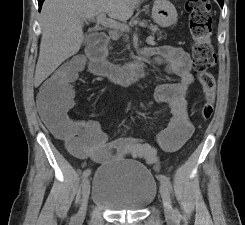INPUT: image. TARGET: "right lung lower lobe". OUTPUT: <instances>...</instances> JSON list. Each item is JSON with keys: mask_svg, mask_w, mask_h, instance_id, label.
<instances>
[{"mask_svg": "<svg viewBox=\"0 0 245 225\" xmlns=\"http://www.w3.org/2000/svg\"><path fill=\"white\" fill-rule=\"evenodd\" d=\"M44 2V0H38V4H39V10L41 9L42 7V3Z\"/></svg>", "mask_w": 245, "mask_h": 225, "instance_id": "right-lung-lower-lobe-1", "label": "right lung lower lobe"}]
</instances>
